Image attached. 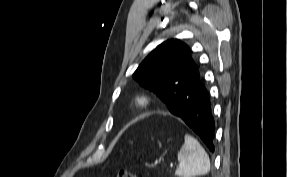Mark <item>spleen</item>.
I'll return each mask as SVG.
<instances>
[{
    "label": "spleen",
    "instance_id": "3e777b00",
    "mask_svg": "<svg viewBox=\"0 0 287 177\" xmlns=\"http://www.w3.org/2000/svg\"><path fill=\"white\" fill-rule=\"evenodd\" d=\"M179 167L175 174L179 177H195L210 171V160L200 143L190 135H185L184 144L177 155Z\"/></svg>",
    "mask_w": 287,
    "mask_h": 177
}]
</instances>
